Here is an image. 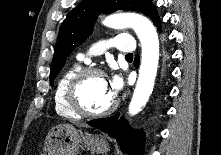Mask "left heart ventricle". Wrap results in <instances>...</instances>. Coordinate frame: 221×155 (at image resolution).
I'll return each instance as SVG.
<instances>
[{"mask_svg":"<svg viewBox=\"0 0 221 155\" xmlns=\"http://www.w3.org/2000/svg\"><path fill=\"white\" fill-rule=\"evenodd\" d=\"M79 99L89 111L99 112L107 108L114 99L108 79L101 75L88 77L80 86Z\"/></svg>","mask_w":221,"mask_h":155,"instance_id":"1","label":"left heart ventricle"}]
</instances>
